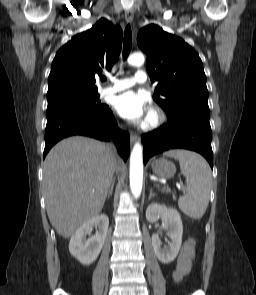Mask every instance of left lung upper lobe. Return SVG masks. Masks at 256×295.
<instances>
[{"label":"left lung upper lobe","instance_id":"1","mask_svg":"<svg viewBox=\"0 0 256 295\" xmlns=\"http://www.w3.org/2000/svg\"><path fill=\"white\" fill-rule=\"evenodd\" d=\"M137 43L147 54L151 82H158L153 99L164 109L167 120L183 114L209 118L206 75L197 52L155 24L140 30Z\"/></svg>","mask_w":256,"mask_h":295}]
</instances>
